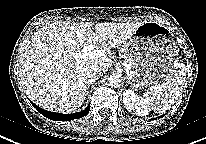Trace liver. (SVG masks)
<instances>
[{"label": "liver", "mask_w": 206, "mask_h": 144, "mask_svg": "<svg viewBox=\"0 0 206 144\" xmlns=\"http://www.w3.org/2000/svg\"><path fill=\"white\" fill-rule=\"evenodd\" d=\"M142 23L54 22L32 35L20 60V80L27 96L49 111L70 113L87 95V72L92 67L107 71L113 48L124 44ZM100 43L101 56L76 60L73 53Z\"/></svg>", "instance_id": "6515ba94"}]
</instances>
